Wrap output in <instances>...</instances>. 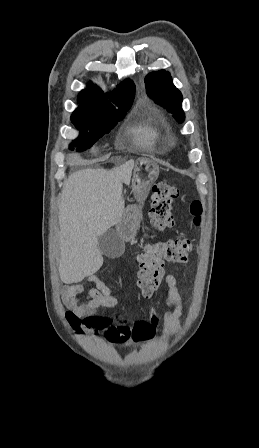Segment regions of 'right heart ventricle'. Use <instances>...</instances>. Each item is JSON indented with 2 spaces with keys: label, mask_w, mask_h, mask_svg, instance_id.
<instances>
[{
  "label": "right heart ventricle",
  "mask_w": 259,
  "mask_h": 448,
  "mask_svg": "<svg viewBox=\"0 0 259 448\" xmlns=\"http://www.w3.org/2000/svg\"><path fill=\"white\" fill-rule=\"evenodd\" d=\"M136 140L150 148H156L162 142H169L168 134L163 133L162 130L154 123H143L132 128Z\"/></svg>",
  "instance_id": "e07e8e85"
}]
</instances>
